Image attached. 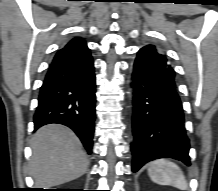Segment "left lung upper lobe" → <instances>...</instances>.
I'll list each match as a JSON object with an SVG mask.
<instances>
[{"label": "left lung upper lobe", "mask_w": 218, "mask_h": 191, "mask_svg": "<svg viewBox=\"0 0 218 191\" xmlns=\"http://www.w3.org/2000/svg\"><path fill=\"white\" fill-rule=\"evenodd\" d=\"M142 51H145L148 55L153 57L155 61L160 62L162 65H165L169 68H172L171 65L169 64L168 59L166 58L165 55L157 52L155 46L153 45H147L141 49Z\"/></svg>", "instance_id": "1"}]
</instances>
